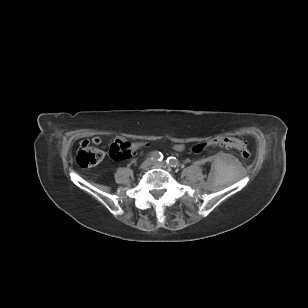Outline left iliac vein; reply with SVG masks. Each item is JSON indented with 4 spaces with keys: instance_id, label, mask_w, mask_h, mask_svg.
I'll list each match as a JSON object with an SVG mask.
<instances>
[{
    "instance_id": "1",
    "label": "left iliac vein",
    "mask_w": 308,
    "mask_h": 308,
    "mask_svg": "<svg viewBox=\"0 0 308 308\" xmlns=\"http://www.w3.org/2000/svg\"><path fill=\"white\" fill-rule=\"evenodd\" d=\"M154 166H156V167H162V166H164L165 165V163L164 162H158V161H153V163H152Z\"/></svg>"
}]
</instances>
